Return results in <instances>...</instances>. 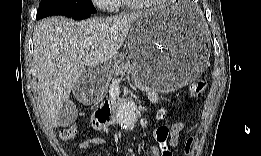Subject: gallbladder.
I'll return each mask as SVG.
<instances>
[{"label": "gallbladder", "instance_id": "1", "mask_svg": "<svg viewBox=\"0 0 261 156\" xmlns=\"http://www.w3.org/2000/svg\"><path fill=\"white\" fill-rule=\"evenodd\" d=\"M72 101L73 100H66L61 103L62 105H59L60 107H63L59 113V126H69L75 121L77 117L76 108L78 107L76 105H73L74 102Z\"/></svg>", "mask_w": 261, "mask_h": 156}]
</instances>
